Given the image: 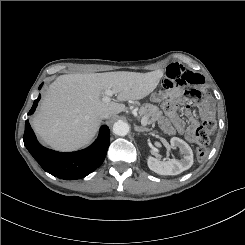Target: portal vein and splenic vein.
I'll return each mask as SVG.
<instances>
[{
  "label": "portal vein and splenic vein",
  "instance_id": "obj_1",
  "mask_svg": "<svg viewBox=\"0 0 245 245\" xmlns=\"http://www.w3.org/2000/svg\"><path fill=\"white\" fill-rule=\"evenodd\" d=\"M113 94H114V91H112L111 89L105 90L103 98H102V101L105 102V103H109L111 101V97L113 96ZM141 124L143 126H146L147 125V120L145 118H142L141 119Z\"/></svg>",
  "mask_w": 245,
  "mask_h": 245
}]
</instances>
